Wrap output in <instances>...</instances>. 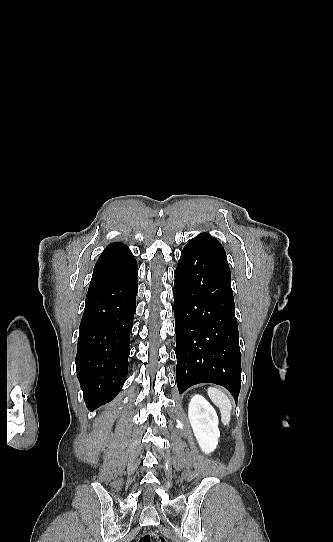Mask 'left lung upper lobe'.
<instances>
[{
  "mask_svg": "<svg viewBox=\"0 0 333 542\" xmlns=\"http://www.w3.org/2000/svg\"><path fill=\"white\" fill-rule=\"evenodd\" d=\"M195 238H199V239H202L204 241H207L208 243H211L213 244L214 246L224 250L223 246L213 237H211L210 235L208 234H199L198 236H196Z\"/></svg>",
  "mask_w": 333,
  "mask_h": 542,
  "instance_id": "5c2ea615",
  "label": "left lung upper lobe"
}]
</instances>
